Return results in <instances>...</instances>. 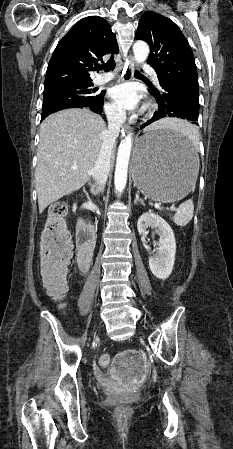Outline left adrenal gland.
Segmentation results:
<instances>
[{
	"instance_id": "left-adrenal-gland-1",
	"label": "left adrenal gland",
	"mask_w": 233,
	"mask_h": 449,
	"mask_svg": "<svg viewBox=\"0 0 233 449\" xmlns=\"http://www.w3.org/2000/svg\"><path fill=\"white\" fill-rule=\"evenodd\" d=\"M138 202H140L142 205H145L144 202H143V200H141V199L139 198V195L136 194V195H135L134 204L136 205V204H138Z\"/></svg>"
}]
</instances>
